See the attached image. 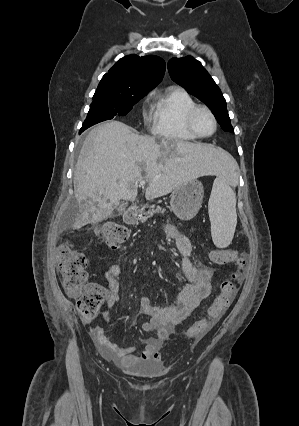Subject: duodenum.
Masks as SVG:
<instances>
[{"label": "duodenum", "mask_w": 299, "mask_h": 426, "mask_svg": "<svg viewBox=\"0 0 299 426\" xmlns=\"http://www.w3.org/2000/svg\"><path fill=\"white\" fill-rule=\"evenodd\" d=\"M137 215H138V210H137V208H136V207H131V208H129V209L126 211V213H125V215H124V218H125L126 222H128V223H133V222H135V221H136V219H137Z\"/></svg>", "instance_id": "410a0bca"}]
</instances>
